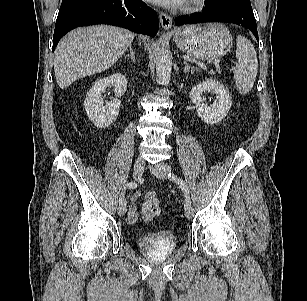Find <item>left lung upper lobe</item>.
Wrapping results in <instances>:
<instances>
[{"label":"left lung upper lobe","mask_w":307,"mask_h":301,"mask_svg":"<svg viewBox=\"0 0 307 301\" xmlns=\"http://www.w3.org/2000/svg\"><path fill=\"white\" fill-rule=\"evenodd\" d=\"M208 3H211L215 6H222L227 4H234V3H248L250 4V0H207Z\"/></svg>","instance_id":"left-lung-upper-lobe-1"}]
</instances>
